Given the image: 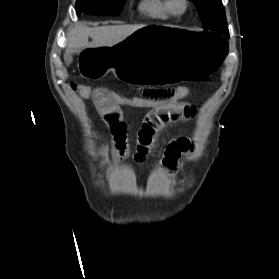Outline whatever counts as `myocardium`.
Returning a JSON list of instances; mask_svg holds the SVG:
<instances>
[{
  "label": "myocardium",
  "instance_id": "obj_1",
  "mask_svg": "<svg viewBox=\"0 0 279 279\" xmlns=\"http://www.w3.org/2000/svg\"><path fill=\"white\" fill-rule=\"evenodd\" d=\"M172 9L175 14H185L190 9V2L188 0H172Z\"/></svg>",
  "mask_w": 279,
  "mask_h": 279
}]
</instances>
